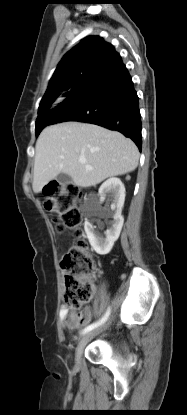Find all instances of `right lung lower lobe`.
Returning <instances> with one entry per match:
<instances>
[{"instance_id":"98d812e1","label":"right lung lower lobe","mask_w":187,"mask_h":415,"mask_svg":"<svg viewBox=\"0 0 187 415\" xmlns=\"http://www.w3.org/2000/svg\"><path fill=\"white\" fill-rule=\"evenodd\" d=\"M65 121L116 130L132 139L141 151L139 98L120 56L82 81L78 90L53 112L50 125Z\"/></svg>"}]
</instances>
